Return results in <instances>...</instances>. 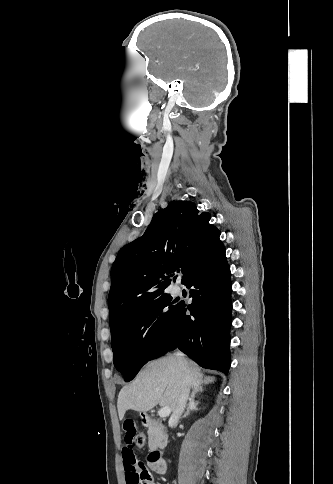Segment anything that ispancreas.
<instances>
[{
    "mask_svg": "<svg viewBox=\"0 0 333 484\" xmlns=\"http://www.w3.org/2000/svg\"><path fill=\"white\" fill-rule=\"evenodd\" d=\"M148 445L150 449H156L167 443V436L160 427L151 426L148 429Z\"/></svg>",
    "mask_w": 333,
    "mask_h": 484,
    "instance_id": "obj_1",
    "label": "pancreas"
}]
</instances>
